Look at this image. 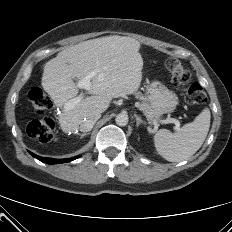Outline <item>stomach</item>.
I'll return each instance as SVG.
<instances>
[{"label":"stomach","mask_w":232,"mask_h":232,"mask_svg":"<svg viewBox=\"0 0 232 232\" xmlns=\"http://www.w3.org/2000/svg\"><path fill=\"white\" fill-rule=\"evenodd\" d=\"M148 101L160 115L172 113L178 105L176 94L161 83L148 87Z\"/></svg>","instance_id":"obj_1"}]
</instances>
